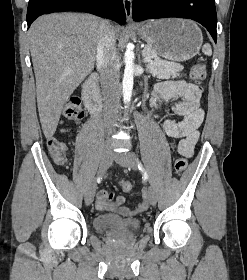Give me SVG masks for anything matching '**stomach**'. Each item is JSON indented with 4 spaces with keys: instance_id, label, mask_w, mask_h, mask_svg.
Returning a JSON list of instances; mask_svg holds the SVG:
<instances>
[{
    "instance_id": "0dacf381",
    "label": "stomach",
    "mask_w": 247,
    "mask_h": 280,
    "mask_svg": "<svg viewBox=\"0 0 247 280\" xmlns=\"http://www.w3.org/2000/svg\"><path fill=\"white\" fill-rule=\"evenodd\" d=\"M138 34L158 56L175 62L193 58L203 43L200 28L191 20L179 18L147 21L138 28Z\"/></svg>"
}]
</instances>
